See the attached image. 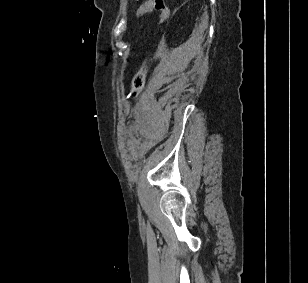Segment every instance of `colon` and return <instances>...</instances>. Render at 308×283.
Segmentation results:
<instances>
[{
    "instance_id": "5ec220e1",
    "label": "colon",
    "mask_w": 308,
    "mask_h": 283,
    "mask_svg": "<svg viewBox=\"0 0 308 283\" xmlns=\"http://www.w3.org/2000/svg\"><path fill=\"white\" fill-rule=\"evenodd\" d=\"M149 12L159 13L161 23L167 22L169 18V9L163 0H147L138 8L136 17H141ZM147 73L148 69L146 65H143L137 71L131 83L130 96L136 97L140 94L145 85Z\"/></svg>"
}]
</instances>
